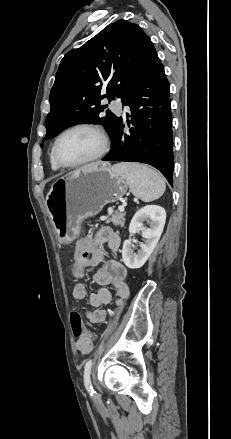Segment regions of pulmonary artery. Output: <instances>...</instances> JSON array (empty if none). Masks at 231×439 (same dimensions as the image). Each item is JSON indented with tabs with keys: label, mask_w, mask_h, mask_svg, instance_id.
<instances>
[{
	"label": "pulmonary artery",
	"mask_w": 231,
	"mask_h": 439,
	"mask_svg": "<svg viewBox=\"0 0 231 439\" xmlns=\"http://www.w3.org/2000/svg\"><path fill=\"white\" fill-rule=\"evenodd\" d=\"M112 108L116 114H121L123 111L127 110V106L124 105L121 99L114 100Z\"/></svg>",
	"instance_id": "pulmonary-artery-1"
}]
</instances>
